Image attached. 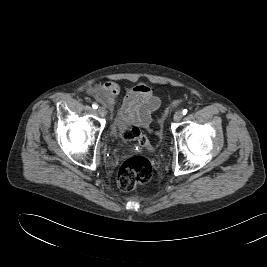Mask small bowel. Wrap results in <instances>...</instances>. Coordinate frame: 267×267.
Here are the masks:
<instances>
[{
    "mask_svg": "<svg viewBox=\"0 0 267 267\" xmlns=\"http://www.w3.org/2000/svg\"><path fill=\"white\" fill-rule=\"evenodd\" d=\"M90 92L99 101L114 108L116 99L121 92V87L116 82L108 81L102 85L92 87ZM160 105V98L153 93L150 86L143 82H138L125 92L118 112V124L120 127L138 125L146 128L151 123L152 113Z\"/></svg>",
    "mask_w": 267,
    "mask_h": 267,
    "instance_id": "obj_1",
    "label": "small bowel"
}]
</instances>
